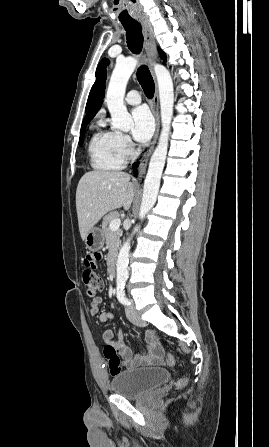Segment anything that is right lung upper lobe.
Masks as SVG:
<instances>
[{
	"instance_id": "cb5924a9",
	"label": "right lung upper lobe",
	"mask_w": 269,
	"mask_h": 447,
	"mask_svg": "<svg viewBox=\"0 0 269 447\" xmlns=\"http://www.w3.org/2000/svg\"><path fill=\"white\" fill-rule=\"evenodd\" d=\"M105 80H106V72H104L102 76L101 83L99 88L97 89L91 107L83 120L82 126L88 124L90 120L95 116L98 110L101 108L104 94H105Z\"/></svg>"
}]
</instances>
